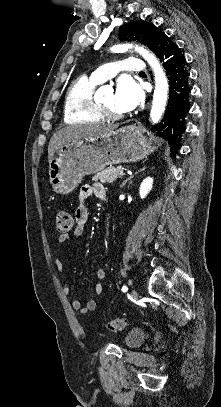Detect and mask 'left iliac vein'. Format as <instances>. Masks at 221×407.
Segmentation results:
<instances>
[{
    "label": "left iliac vein",
    "mask_w": 221,
    "mask_h": 407,
    "mask_svg": "<svg viewBox=\"0 0 221 407\" xmlns=\"http://www.w3.org/2000/svg\"><path fill=\"white\" fill-rule=\"evenodd\" d=\"M131 297H132L134 300H136V299L138 298V293H137V291H136L135 289L132 290V292H131Z\"/></svg>",
    "instance_id": "obj_1"
}]
</instances>
